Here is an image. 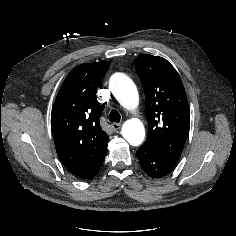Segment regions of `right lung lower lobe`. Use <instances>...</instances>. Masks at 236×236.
<instances>
[{
    "mask_svg": "<svg viewBox=\"0 0 236 236\" xmlns=\"http://www.w3.org/2000/svg\"><path fill=\"white\" fill-rule=\"evenodd\" d=\"M98 171L99 169L95 171L94 173H92L87 179H92L98 173Z\"/></svg>",
    "mask_w": 236,
    "mask_h": 236,
    "instance_id": "98d812e1",
    "label": "right lung lower lobe"
}]
</instances>
